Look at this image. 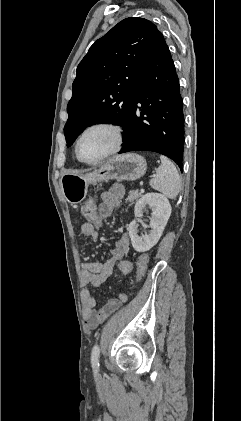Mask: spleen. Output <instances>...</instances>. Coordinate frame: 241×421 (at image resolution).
<instances>
[{
    "mask_svg": "<svg viewBox=\"0 0 241 421\" xmlns=\"http://www.w3.org/2000/svg\"><path fill=\"white\" fill-rule=\"evenodd\" d=\"M161 165L150 180V186L164 196L175 200L179 194L181 180L175 165L165 156H160Z\"/></svg>",
    "mask_w": 241,
    "mask_h": 421,
    "instance_id": "spleen-1",
    "label": "spleen"
}]
</instances>
